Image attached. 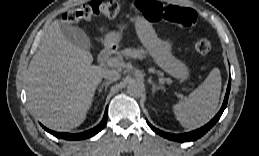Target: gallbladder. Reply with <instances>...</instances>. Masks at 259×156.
Listing matches in <instances>:
<instances>
[{
    "label": "gallbladder",
    "mask_w": 259,
    "mask_h": 156,
    "mask_svg": "<svg viewBox=\"0 0 259 156\" xmlns=\"http://www.w3.org/2000/svg\"><path fill=\"white\" fill-rule=\"evenodd\" d=\"M60 28L64 38L71 44L85 50L92 47L91 41L83 29L66 22H62Z\"/></svg>",
    "instance_id": "obj_1"
}]
</instances>
